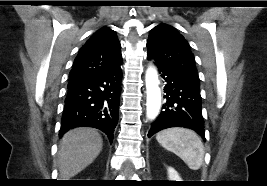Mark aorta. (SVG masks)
<instances>
[{"mask_svg":"<svg viewBox=\"0 0 267 186\" xmlns=\"http://www.w3.org/2000/svg\"><path fill=\"white\" fill-rule=\"evenodd\" d=\"M146 82V113L148 119H155L161 106V90L158 73L154 67H149L145 75Z\"/></svg>","mask_w":267,"mask_h":186,"instance_id":"obj_1","label":"aorta"}]
</instances>
